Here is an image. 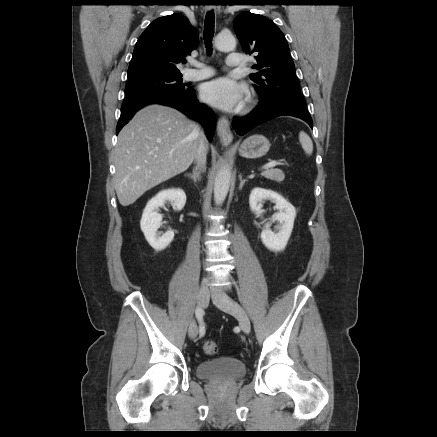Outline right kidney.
Masks as SVG:
<instances>
[{
	"label": "right kidney",
	"mask_w": 437,
	"mask_h": 437,
	"mask_svg": "<svg viewBox=\"0 0 437 437\" xmlns=\"http://www.w3.org/2000/svg\"><path fill=\"white\" fill-rule=\"evenodd\" d=\"M167 201L175 210H182L186 203V194L182 189L160 191L147 203L140 221V227L147 242L156 251L164 250L174 238V232L171 229L162 235L158 232L162 225V215L158 213V210Z\"/></svg>",
	"instance_id": "ca27d5eb"
}]
</instances>
